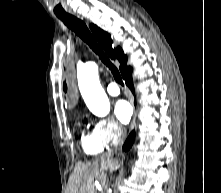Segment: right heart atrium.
Listing matches in <instances>:
<instances>
[{"instance_id": "d8ad5b80", "label": "right heart atrium", "mask_w": 221, "mask_h": 193, "mask_svg": "<svg viewBox=\"0 0 221 193\" xmlns=\"http://www.w3.org/2000/svg\"><path fill=\"white\" fill-rule=\"evenodd\" d=\"M93 134L102 144L109 146L121 140L124 135V129L113 118H101L94 121Z\"/></svg>"}]
</instances>
